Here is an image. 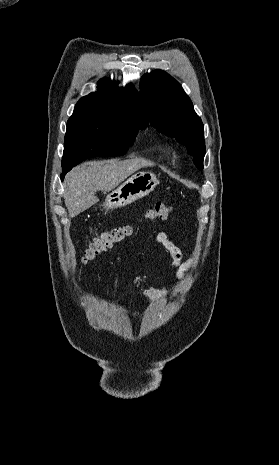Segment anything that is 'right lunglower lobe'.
Instances as JSON below:
<instances>
[{"label":"right lung lower lobe","mask_w":279,"mask_h":465,"mask_svg":"<svg viewBox=\"0 0 279 465\" xmlns=\"http://www.w3.org/2000/svg\"><path fill=\"white\" fill-rule=\"evenodd\" d=\"M69 170H71V169H68V170H64V171H63V173H62V175H61V179H62V180L64 179L65 174H66Z\"/></svg>","instance_id":"right-lung-lower-lobe-1"}]
</instances>
